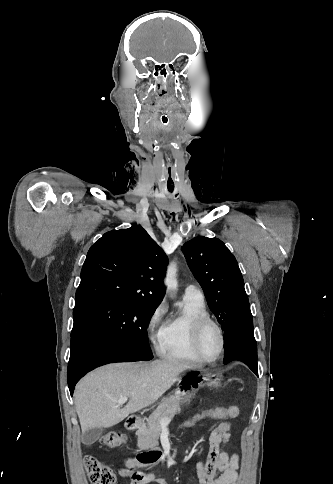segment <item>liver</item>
Instances as JSON below:
<instances>
[{
    "instance_id": "liver-1",
    "label": "liver",
    "mask_w": 333,
    "mask_h": 484,
    "mask_svg": "<svg viewBox=\"0 0 333 484\" xmlns=\"http://www.w3.org/2000/svg\"><path fill=\"white\" fill-rule=\"evenodd\" d=\"M192 367L169 360L116 363L100 367L76 385L74 402L82 433L91 428L112 427L129 414L154 404ZM129 397L125 407L117 400Z\"/></svg>"
}]
</instances>
